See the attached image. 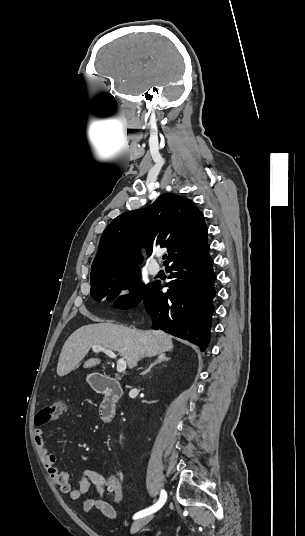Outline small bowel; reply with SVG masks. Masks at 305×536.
<instances>
[{"mask_svg": "<svg viewBox=\"0 0 305 536\" xmlns=\"http://www.w3.org/2000/svg\"><path fill=\"white\" fill-rule=\"evenodd\" d=\"M33 437L38 454L46 472L63 493L67 494L71 500L77 501L86 495L90 486L93 485L96 490V494L92 497L82 500V509L85 512H90L94 509H97L109 519H115L117 517V511L114 505L103 498L106 491L112 492V490L101 487V482L107 481L103 480L102 475L98 474L94 470L87 469L83 472V477L80 481L79 487L72 489L69 482V473L60 470L56 466L57 457L50 453L46 447V440L43 430L34 429Z\"/></svg>", "mask_w": 305, "mask_h": 536, "instance_id": "small-bowel-1", "label": "small bowel"}]
</instances>
